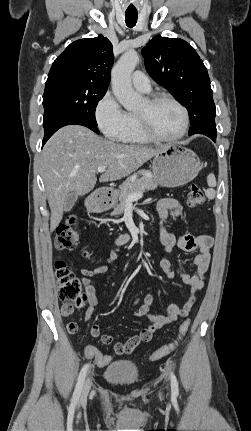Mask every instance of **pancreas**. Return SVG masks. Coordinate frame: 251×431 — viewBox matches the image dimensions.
Returning <instances> with one entry per match:
<instances>
[{"mask_svg":"<svg viewBox=\"0 0 251 431\" xmlns=\"http://www.w3.org/2000/svg\"><path fill=\"white\" fill-rule=\"evenodd\" d=\"M141 174L143 176L140 178H137V175L129 177L120 185L119 190L115 191L117 198L112 215L119 216L123 214L127 204L126 200L129 195L134 193H143L157 187L158 184L154 180L151 172L141 171Z\"/></svg>","mask_w":251,"mask_h":431,"instance_id":"obj_1","label":"pancreas"}]
</instances>
